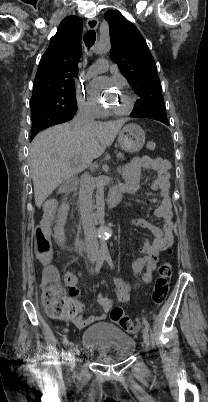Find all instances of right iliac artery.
Instances as JSON below:
<instances>
[{"label": "right iliac artery", "mask_w": 208, "mask_h": 402, "mask_svg": "<svg viewBox=\"0 0 208 402\" xmlns=\"http://www.w3.org/2000/svg\"><path fill=\"white\" fill-rule=\"evenodd\" d=\"M104 260H105V255H104V254H100V255H99V258H98V261H97V263H96V266H95V273H98V272L100 271V269H101V267H102V265H103V263H104ZM63 345H64V348L67 349V347H68V338H67V335H64V338H63Z\"/></svg>", "instance_id": "obj_1"}]
</instances>
